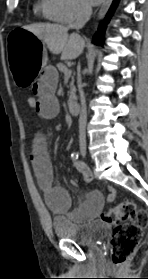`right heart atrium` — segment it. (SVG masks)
Instances as JSON below:
<instances>
[{
	"mask_svg": "<svg viewBox=\"0 0 148 279\" xmlns=\"http://www.w3.org/2000/svg\"><path fill=\"white\" fill-rule=\"evenodd\" d=\"M50 9L56 21L64 24L73 23L89 12L81 0H50Z\"/></svg>",
	"mask_w": 148,
	"mask_h": 279,
	"instance_id": "1",
	"label": "right heart atrium"
}]
</instances>
